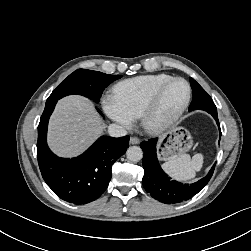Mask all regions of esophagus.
Wrapping results in <instances>:
<instances>
[{
	"label": "esophagus",
	"instance_id": "34e87169",
	"mask_svg": "<svg viewBox=\"0 0 251 251\" xmlns=\"http://www.w3.org/2000/svg\"><path fill=\"white\" fill-rule=\"evenodd\" d=\"M140 140L137 137H131L130 138V144L135 145V144H139Z\"/></svg>",
	"mask_w": 251,
	"mask_h": 251
}]
</instances>
